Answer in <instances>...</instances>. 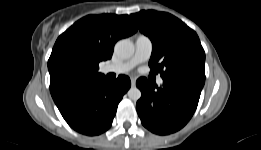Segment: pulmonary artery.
I'll return each instance as SVG.
<instances>
[{"label":"pulmonary artery","instance_id":"1","mask_svg":"<svg viewBox=\"0 0 261 150\" xmlns=\"http://www.w3.org/2000/svg\"><path fill=\"white\" fill-rule=\"evenodd\" d=\"M152 53V41L149 37L145 35H138L135 40V51L133 56L120 63L108 64L103 67L102 71L104 73H115L123 74L132 70L135 66L140 63L147 61ZM163 83V78H157V84L161 85Z\"/></svg>","mask_w":261,"mask_h":150}]
</instances>
